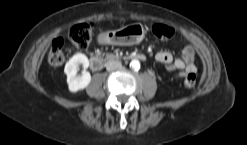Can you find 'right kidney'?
<instances>
[{
    "instance_id": "right-kidney-1",
    "label": "right kidney",
    "mask_w": 247,
    "mask_h": 145,
    "mask_svg": "<svg viewBox=\"0 0 247 145\" xmlns=\"http://www.w3.org/2000/svg\"><path fill=\"white\" fill-rule=\"evenodd\" d=\"M82 64L84 69L88 68L89 60L82 53L75 54L65 65L64 72L67 75V84L70 92H78L85 89L91 82V75L83 71L81 76L77 75L78 66Z\"/></svg>"
}]
</instances>
